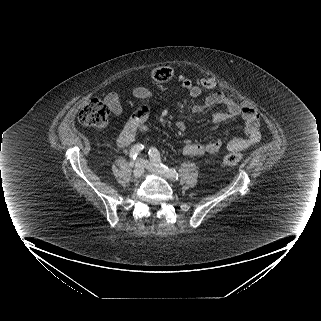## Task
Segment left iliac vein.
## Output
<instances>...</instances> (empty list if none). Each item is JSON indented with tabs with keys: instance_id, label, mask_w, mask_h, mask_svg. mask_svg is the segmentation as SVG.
<instances>
[{
	"instance_id": "left-iliac-vein-1",
	"label": "left iliac vein",
	"mask_w": 321,
	"mask_h": 321,
	"mask_svg": "<svg viewBox=\"0 0 321 321\" xmlns=\"http://www.w3.org/2000/svg\"><path fill=\"white\" fill-rule=\"evenodd\" d=\"M141 163H142L143 167L145 169H147L148 171H150L151 173L161 176V177H166V175L163 172L157 170V168L151 162H149L145 159H141Z\"/></svg>"
}]
</instances>
